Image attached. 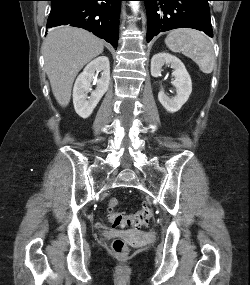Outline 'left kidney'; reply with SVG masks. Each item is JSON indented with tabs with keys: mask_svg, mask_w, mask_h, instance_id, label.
<instances>
[{
	"mask_svg": "<svg viewBox=\"0 0 250 285\" xmlns=\"http://www.w3.org/2000/svg\"><path fill=\"white\" fill-rule=\"evenodd\" d=\"M165 64L170 65L173 69L172 75L175 77V80L172 82V85L175 87L176 95L170 98L161 89L158 93V100L168 112L175 113L187 102L192 92V82L181 60L165 52L157 53L152 57L151 75L156 78L161 76L162 66Z\"/></svg>",
	"mask_w": 250,
	"mask_h": 285,
	"instance_id": "5707ae66",
	"label": "left kidney"
}]
</instances>
